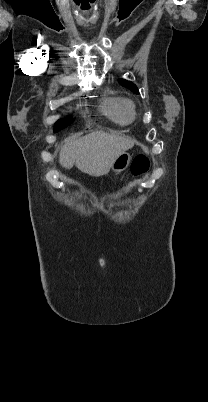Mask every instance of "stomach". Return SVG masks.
I'll list each match as a JSON object with an SVG mask.
<instances>
[{"label": "stomach", "mask_w": 208, "mask_h": 402, "mask_svg": "<svg viewBox=\"0 0 208 402\" xmlns=\"http://www.w3.org/2000/svg\"><path fill=\"white\" fill-rule=\"evenodd\" d=\"M131 156L128 154V152H123V154H120L116 160H114L110 170H113V172H123V170H126L130 164Z\"/></svg>", "instance_id": "obj_1"}]
</instances>
